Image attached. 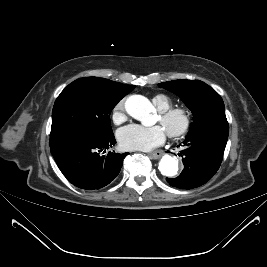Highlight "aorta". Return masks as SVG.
Instances as JSON below:
<instances>
[{
	"instance_id": "obj_1",
	"label": "aorta",
	"mask_w": 267,
	"mask_h": 267,
	"mask_svg": "<svg viewBox=\"0 0 267 267\" xmlns=\"http://www.w3.org/2000/svg\"><path fill=\"white\" fill-rule=\"evenodd\" d=\"M126 112L134 119L146 124L150 114L153 112L151 102L142 95H131L125 101ZM162 175L173 177L178 172V160L170 155H164L158 166Z\"/></svg>"
}]
</instances>
